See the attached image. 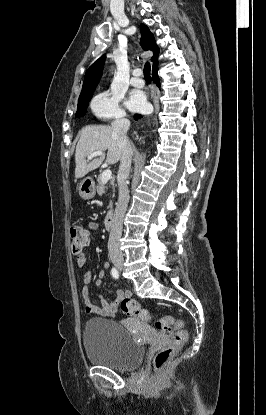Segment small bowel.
Returning <instances> with one entry per match:
<instances>
[{"label": "small bowel", "instance_id": "1", "mask_svg": "<svg viewBox=\"0 0 266 415\" xmlns=\"http://www.w3.org/2000/svg\"><path fill=\"white\" fill-rule=\"evenodd\" d=\"M99 225L96 222H92L89 224V228L92 230H97ZM87 262V257L84 253H78L76 257V263L79 267H83ZM109 268V263H104V269L100 270L98 273V279L96 281V285L100 286L102 280L106 276V270ZM92 282V274L91 272L87 271L84 273L82 277V300L84 304L85 312L88 314H95L103 317H111L114 316L118 310L119 303L124 298H130L131 293L129 291H122L119 290L117 292L116 299L114 300H107L102 298L101 299V306H95L91 303V294H90V284Z\"/></svg>", "mask_w": 266, "mask_h": 415}]
</instances>
